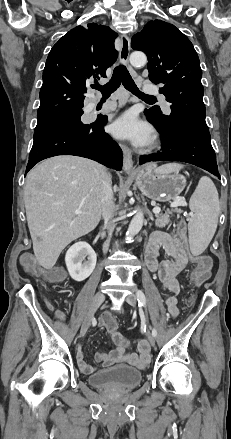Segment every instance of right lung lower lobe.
Returning <instances> with one entry per match:
<instances>
[{"instance_id": "98d812e1", "label": "right lung lower lobe", "mask_w": 231, "mask_h": 439, "mask_svg": "<svg viewBox=\"0 0 231 439\" xmlns=\"http://www.w3.org/2000/svg\"><path fill=\"white\" fill-rule=\"evenodd\" d=\"M107 116L90 124H55L34 133L26 173L39 161L57 155H76L121 170L122 151L104 132Z\"/></svg>"}]
</instances>
